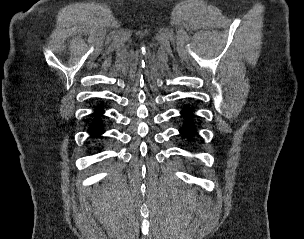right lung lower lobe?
<instances>
[{
    "instance_id": "obj_1",
    "label": "right lung lower lobe",
    "mask_w": 304,
    "mask_h": 239,
    "mask_svg": "<svg viewBox=\"0 0 304 239\" xmlns=\"http://www.w3.org/2000/svg\"><path fill=\"white\" fill-rule=\"evenodd\" d=\"M103 109L101 107L96 108L95 121L89 128V133L91 135H100L104 132L102 124L100 122V115L103 113Z\"/></svg>"
}]
</instances>
